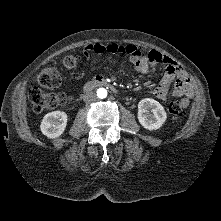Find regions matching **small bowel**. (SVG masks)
I'll use <instances>...</instances> for the list:
<instances>
[{
    "mask_svg": "<svg viewBox=\"0 0 221 221\" xmlns=\"http://www.w3.org/2000/svg\"><path fill=\"white\" fill-rule=\"evenodd\" d=\"M85 58L93 54H122L129 58L135 71L142 74H150L156 71L159 64L165 66L164 76L158 86L151 89V93L160 100H167L169 97V87L174 83L171 94L178 98L189 99L193 95L190 80L183 69L170 57L157 52L150 51L142 53L135 45L118 43H94L85 45L81 50Z\"/></svg>",
    "mask_w": 221,
    "mask_h": 221,
    "instance_id": "c3829d8e",
    "label": "small bowel"
}]
</instances>
